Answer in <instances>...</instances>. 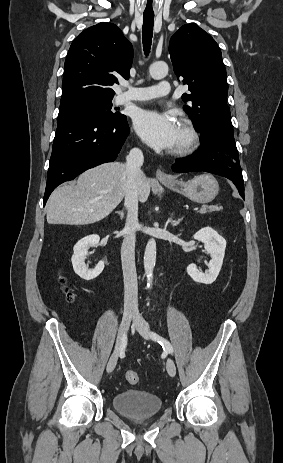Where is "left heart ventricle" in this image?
Instances as JSON below:
<instances>
[{
    "mask_svg": "<svg viewBox=\"0 0 283 463\" xmlns=\"http://www.w3.org/2000/svg\"><path fill=\"white\" fill-rule=\"evenodd\" d=\"M184 139H185V135H184L182 129L179 127V125H177L176 142H175V145H174L173 148L180 145L184 141Z\"/></svg>",
    "mask_w": 283,
    "mask_h": 463,
    "instance_id": "1",
    "label": "left heart ventricle"
}]
</instances>
